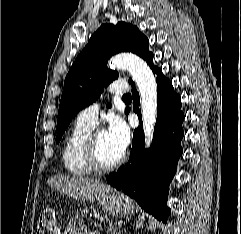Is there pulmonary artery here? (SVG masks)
<instances>
[{"instance_id": "1", "label": "pulmonary artery", "mask_w": 241, "mask_h": 234, "mask_svg": "<svg viewBox=\"0 0 241 234\" xmlns=\"http://www.w3.org/2000/svg\"><path fill=\"white\" fill-rule=\"evenodd\" d=\"M127 91L128 87L123 82H115L109 87V92L113 95H125ZM98 112L99 104L94 103L80 111L77 120L94 126L97 123Z\"/></svg>"}]
</instances>
